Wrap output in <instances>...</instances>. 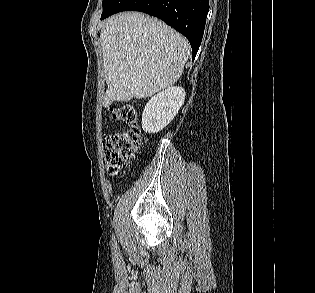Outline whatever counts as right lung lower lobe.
Instances as JSON below:
<instances>
[{"instance_id": "98d812e1", "label": "right lung lower lobe", "mask_w": 315, "mask_h": 293, "mask_svg": "<svg viewBox=\"0 0 315 293\" xmlns=\"http://www.w3.org/2000/svg\"><path fill=\"white\" fill-rule=\"evenodd\" d=\"M126 10L158 17L182 33L191 44L194 60L204 32L209 0H112L101 19Z\"/></svg>"}]
</instances>
